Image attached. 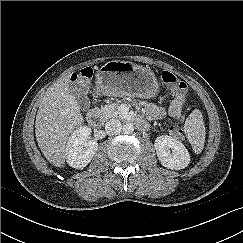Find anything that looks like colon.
I'll return each instance as SVG.
<instances>
[{
	"instance_id": "1",
	"label": "colon",
	"mask_w": 243,
	"mask_h": 243,
	"mask_svg": "<svg viewBox=\"0 0 243 243\" xmlns=\"http://www.w3.org/2000/svg\"><path fill=\"white\" fill-rule=\"evenodd\" d=\"M93 76V69L91 67H84L77 73H74L71 77V81L74 84L84 86ZM163 82L171 87L181 101L185 95L186 83L176 77V75L170 71H164L162 73ZM183 119V115L177 118L178 121ZM169 133L175 138H181L183 136V130L180 122L172 123L169 126Z\"/></svg>"
}]
</instances>
